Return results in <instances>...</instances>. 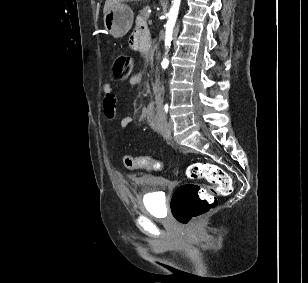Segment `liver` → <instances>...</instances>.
<instances>
[{
    "label": "liver",
    "instance_id": "liver-1",
    "mask_svg": "<svg viewBox=\"0 0 308 283\" xmlns=\"http://www.w3.org/2000/svg\"><path fill=\"white\" fill-rule=\"evenodd\" d=\"M128 1H137V0H106L104 5V14L107 13L112 6L120 4L121 2H128Z\"/></svg>",
    "mask_w": 308,
    "mask_h": 283
}]
</instances>
